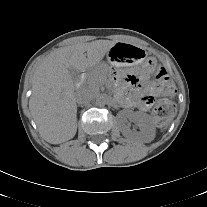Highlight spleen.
Returning <instances> with one entry per match:
<instances>
[{"instance_id":"spleen-1","label":"spleen","mask_w":207,"mask_h":207,"mask_svg":"<svg viewBox=\"0 0 207 207\" xmlns=\"http://www.w3.org/2000/svg\"><path fill=\"white\" fill-rule=\"evenodd\" d=\"M174 119V114H169L167 117H166V120L164 122V126L167 127L168 125H170V123L173 121Z\"/></svg>"}]
</instances>
